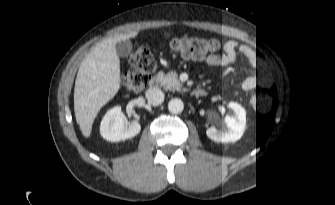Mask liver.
Returning a JSON list of instances; mask_svg holds the SVG:
<instances>
[{"instance_id":"liver-1","label":"liver","mask_w":335,"mask_h":205,"mask_svg":"<svg viewBox=\"0 0 335 205\" xmlns=\"http://www.w3.org/2000/svg\"><path fill=\"white\" fill-rule=\"evenodd\" d=\"M137 35L136 31L107 39L95 46L82 61L75 81L74 112L84 137H90L97 114L120 89L116 44Z\"/></svg>"}]
</instances>
